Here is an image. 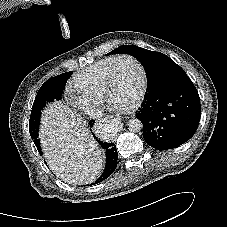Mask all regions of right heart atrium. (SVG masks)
<instances>
[{"label": "right heart atrium", "mask_w": 227, "mask_h": 227, "mask_svg": "<svg viewBox=\"0 0 227 227\" xmlns=\"http://www.w3.org/2000/svg\"><path fill=\"white\" fill-rule=\"evenodd\" d=\"M69 101L78 109L84 111V112H91L93 109H95L99 102L96 100H93L91 98L82 96L80 94L78 95H70Z\"/></svg>", "instance_id": "right-heart-atrium-1"}]
</instances>
